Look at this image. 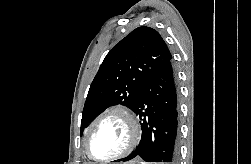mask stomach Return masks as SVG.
Segmentation results:
<instances>
[{"label":"stomach","mask_w":251,"mask_h":164,"mask_svg":"<svg viewBox=\"0 0 251 164\" xmlns=\"http://www.w3.org/2000/svg\"><path fill=\"white\" fill-rule=\"evenodd\" d=\"M116 164H118V163H116ZM124 164V163H123ZM131 164H142L141 162L140 163H136L135 161H134V163H131Z\"/></svg>","instance_id":"0dacf381"}]
</instances>
